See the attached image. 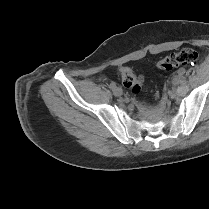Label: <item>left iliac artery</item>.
Wrapping results in <instances>:
<instances>
[{
    "label": "left iliac artery",
    "mask_w": 209,
    "mask_h": 209,
    "mask_svg": "<svg viewBox=\"0 0 209 209\" xmlns=\"http://www.w3.org/2000/svg\"><path fill=\"white\" fill-rule=\"evenodd\" d=\"M186 72V69L184 67H180L178 69V73H180L181 75H183Z\"/></svg>",
    "instance_id": "left-iliac-artery-1"
}]
</instances>
